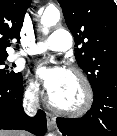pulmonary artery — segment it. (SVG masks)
I'll return each mask as SVG.
<instances>
[{
  "mask_svg": "<svg viewBox=\"0 0 117 136\" xmlns=\"http://www.w3.org/2000/svg\"><path fill=\"white\" fill-rule=\"evenodd\" d=\"M73 42L72 35L64 30L57 29L44 42H39L28 51L30 54H39L45 51H65L71 48Z\"/></svg>",
  "mask_w": 117,
  "mask_h": 136,
  "instance_id": "1",
  "label": "pulmonary artery"
}]
</instances>
